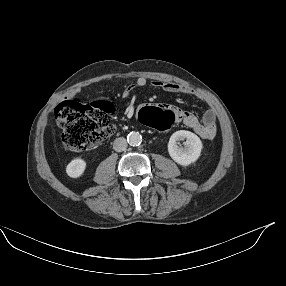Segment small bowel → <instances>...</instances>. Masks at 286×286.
<instances>
[{
	"mask_svg": "<svg viewBox=\"0 0 286 286\" xmlns=\"http://www.w3.org/2000/svg\"><path fill=\"white\" fill-rule=\"evenodd\" d=\"M145 87H152L168 93L192 95L198 99L204 98L201 93L196 92L187 86L160 80L150 82L143 77L138 78L135 83L127 85L123 90V94L127 96L132 94L135 90ZM154 105L156 107L169 110L174 116V123L182 122L186 127L197 133L202 139L210 141L215 138L217 133V121L216 112L214 109H208L205 112L202 120H199L193 113L183 111L174 106H171L170 102L167 100L147 99L139 101L136 104L135 109L132 111V116L138 117L144 108Z\"/></svg>",
	"mask_w": 286,
	"mask_h": 286,
	"instance_id": "small-bowel-1",
	"label": "small bowel"
}]
</instances>
